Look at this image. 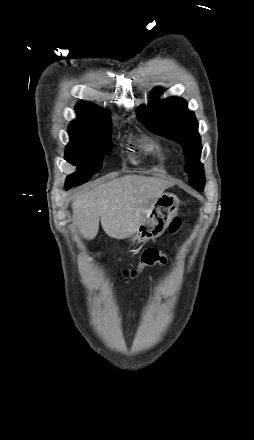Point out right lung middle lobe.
<instances>
[{
  "label": "right lung middle lobe",
  "mask_w": 254,
  "mask_h": 440,
  "mask_svg": "<svg viewBox=\"0 0 254 440\" xmlns=\"http://www.w3.org/2000/svg\"><path fill=\"white\" fill-rule=\"evenodd\" d=\"M70 143L65 150V159L77 165L78 172L66 180V187L71 188L88 181L101 169L103 157L112 150V130L71 127L68 128Z\"/></svg>",
  "instance_id": "1"
}]
</instances>
